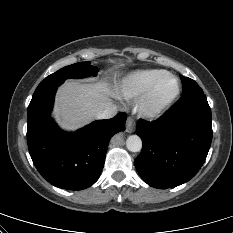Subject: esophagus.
<instances>
[{
    "instance_id": "esophagus-1",
    "label": "esophagus",
    "mask_w": 233,
    "mask_h": 233,
    "mask_svg": "<svg viewBox=\"0 0 233 233\" xmlns=\"http://www.w3.org/2000/svg\"><path fill=\"white\" fill-rule=\"evenodd\" d=\"M135 127H136V121H135V119L132 118V117H128L127 121H126V131L128 133H132V132H134Z\"/></svg>"
}]
</instances>
